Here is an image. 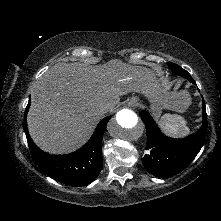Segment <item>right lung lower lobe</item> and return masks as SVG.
<instances>
[{
	"mask_svg": "<svg viewBox=\"0 0 221 221\" xmlns=\"http://www.w3.org/2000/svg\"><path fill=\"white\" fill-rule=\"evenodd\" d=\"M29 106L30 102L25 110L24 131L32 157L39 168L52 179L71 186H82L94 181L103 164L101 144L109 118L100 121L90 140L79 150L67 155H49L33 143L28 133L26 116Z\"/></svg>",
	"mask_w": 221,
	"mask_h": 221,
	"instance_id": "1",
	"label": "right lung lower lobe"
}]
</instances>
